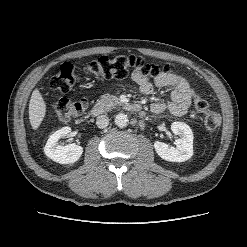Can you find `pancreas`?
Wrapping results in <instances>:
<instances>
[{
	"label": "pancreas",
	"mask_w": 247,
	"mask_h": 247,
	"mask_svg": "<svg viewBox=\"0 0 247 247\" xmlns=\"http://www.w3.org/2000/svg\"><path fill=\"white\" fill-rule=\"evenodd\" d=\"M116 105H121V102L119 99L110 94H104L100 97V99L97 101V106H101L106 110H110L111 108H114Z\"/></svg>",
	"instance_id": "cf45deb5"
}]
</instances>
